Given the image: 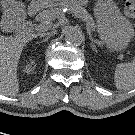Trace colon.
<instances>
[{
    "instance_id": "5ec220e1",
    "label": "colon",
    "mask_w": 135,
    "mask_h": 135,
    "mask_svg": "<svg viewBox=\"0 0 135 135\" xmlns=\"http://www.w3.org/2000/svg\"><path fill=\"white\" fill-rule=\"evenodd\" d=\"M125 14L130 18H135V0H125Z\"/></svg>"
}]
</instances>
